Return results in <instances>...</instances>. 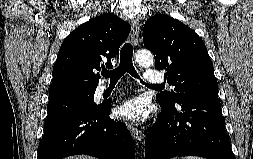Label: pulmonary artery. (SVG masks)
Masks as SVG:
<instances>
[{
	"instance_id": "1",
	"label": "pulmonary artery",
	"mask_w": 253,
	"mask_h": 159,
	"mask_svg": "<svg viewBox=\"0 0 253 159\" xmlns=\"http://www.w3.org/2000/svg\"><path fill=\"white\" fill-rule=\"evenodd\" d=\"M165 81V74L162 71H153L147 70L144 73V82L150 86H162V83ZM170 89L173 88L172 85H168ZM107 89V85H102L100 87V91H105Z\"/></svg>"
}]
</instances>
